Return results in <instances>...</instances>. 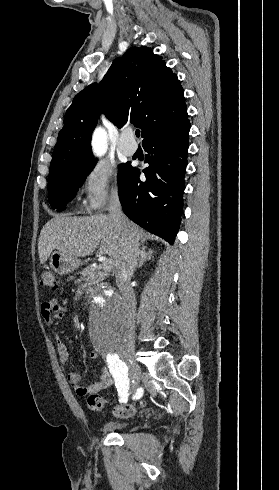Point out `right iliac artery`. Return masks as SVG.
Instances as JSON below:
<instances>
[{
	"label": "right iliac artery",
	"mask_w": 279,
	"mask_h": 490,
	"mask_svg": "<svg viewBox=\"0 0 279 490\" xmlns=\"http://www.w3.org/2000/svg\"><path fill=\"white\" fill-rule=\"evenodd\" d=\"M106 364L115 378L117 390L120 395L119 401L121 403L127 402L126 397L129 396L127 365L120 360L119 352H108Z\"/></svg>",
	"instance_id": "obj_1"
}]
</instances>
